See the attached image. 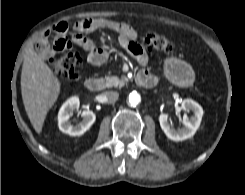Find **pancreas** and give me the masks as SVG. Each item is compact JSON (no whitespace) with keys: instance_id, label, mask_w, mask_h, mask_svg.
Segmentation results:
<instances>
[{"instance_id":"cf45deb5","label":"pancreas","mask_w":245,"mask_h":195,"mask_svg":"<svg viewBox=\"0 0 245 195\" xmlns=\"http://www.w3.org/2000/svg\"><path fill=\"white\" fill-rule=\"evenodd\" d=\"M126 81V77H121V79H119L117 76H106L104 78L105 86L108 88L122 87L125 85Z\"/></svg>"}]
</instances>
